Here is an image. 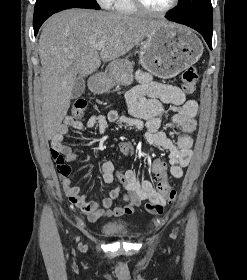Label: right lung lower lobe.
<instances>
[{
  "instance_id": "right-lung-lower-lobe-1",
  "label": "right lung lower lobe",
  "mask_w": 247,
  "mask_h": 280,
  "mask_svg": "<svg viewBox=\"0 0 247 280\" xmlns=\"http://www.w3.org/2000/svg\"><path fill=\"white\" fill-rule=\"evenodd\" d=\"M42 23L33 24L35 35L38 33V30H39L40 26L42 25Z\"/></svg>"
}]
</instances>
